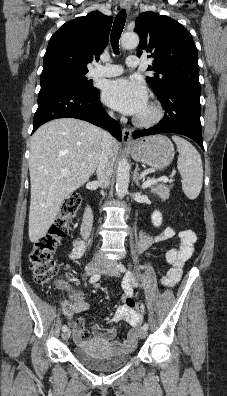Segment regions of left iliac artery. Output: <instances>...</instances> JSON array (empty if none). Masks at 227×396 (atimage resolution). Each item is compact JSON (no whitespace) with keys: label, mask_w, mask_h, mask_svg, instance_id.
Here are the masks:
<instances>
[{"label":"left iliac artery","mask_w":227,"mask_h":396,"mask_svg":"<svg viewBox=\"0 0 227 396\" xmlns=\"http://www.w3.org/2000/svg\"><path fill=\"white\" fill-rule=\"evenodd\" d=\"M118 269H119L121 272H125V271H126V267H125L123 264H121V263L118 265ZM143 328H144L145 330H147V329H148V324L145 323V324L143 325Z\"/></svg>","instance_id":"44dca946"}]
</instances>
